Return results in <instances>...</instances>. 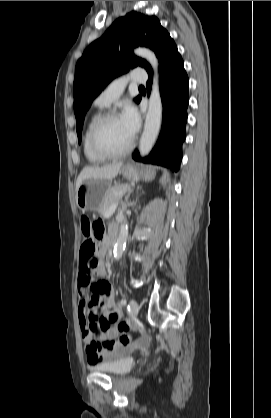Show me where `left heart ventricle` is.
<instances>
[{"label":"left heart ventricle","mask_w":271,"mask_h":418,"mask_svg":"<svg viewBox=\"0 0 271 418\" xmlns=\"http://www.w3.org/2000/svg\"><path fill=\"white\" fill-rule=\"evenodd\" d=\"M131 140L120 118L108 121L99 134L100 144L113 152L123 150Z\"/></svg>","instance_id":"obj_1"}]
</instances>
